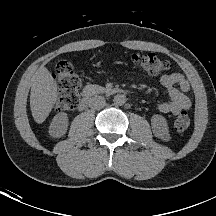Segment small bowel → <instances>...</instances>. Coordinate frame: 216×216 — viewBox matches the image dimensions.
<instances>
[{"label": "small bowel", "instance_id": "small-bowel-1", "mask_svg": "<svg viewBox=\"0 0 216 216\" xmlns=\"http://www.w3.org/2000/svg\"><path fill=\"white\" fill-rule=\"evenodd\" d=\"M161 84L167 89L169 100L160 102L157 109L162 113L177 115L190 109L191 100L187 93L190 84L181 73H166L160 78Z\"/></svg>", "mask_w": 216, "mask_h": 216}]
</instances>
